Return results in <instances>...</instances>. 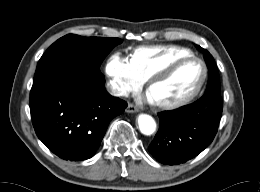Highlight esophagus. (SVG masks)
Listing matches in <instances>:
<instances>
[{"mask_svg":"<svg viewBox=\"0 0 260 192\" xmlns=\"http://www.w3.org/2000/svg\"><path fill=\"white\" fill-rule=\"evenodd\" d=\"M139 109L136 105H134L133 103H129L128 107H127V112H137Z\"/></svg>","mask_w":260,"mask_h":192,"instance_id":"obj_1","label":"esophagus"}]
</instances>
